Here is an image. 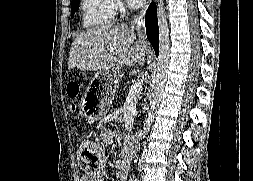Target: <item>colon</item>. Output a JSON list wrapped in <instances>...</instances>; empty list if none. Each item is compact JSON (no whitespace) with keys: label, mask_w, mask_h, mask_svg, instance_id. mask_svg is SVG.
<instances>
[{"label":"colon","mask_w":253,"mask_h":181,"mask_svg":"<svg viewBox=\"0 0 253 181\" xmlns=\"http://www.w3.org/2000/svg\"><path fill=\"white\" fill-rule=\"evenodd\" d=\"M70 99H76L80 88L76 82H70L67 87ZM79 160L81 168L88 173H95L100 170L106 161L104 147L97 140L84 141L79 149Z\"/></svg>","instance_id":"1"}]
</instances>
